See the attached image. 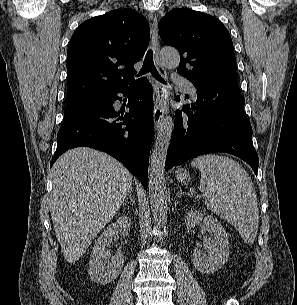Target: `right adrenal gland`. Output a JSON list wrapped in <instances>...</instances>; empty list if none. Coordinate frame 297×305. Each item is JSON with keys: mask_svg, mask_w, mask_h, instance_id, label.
<instances>
[{"mask_svg": "<svg viewBox=\"0 0 297 305\" xmlns=\"http://www.w3.org/2000/svg\"><path fill=\"white\" fill-rule=\"evenodd\" d=\"M128 200H130L134 204V199L132 198V190L129 191L128 197L125 199L122 205L125 206Z\"/></svg>", "mask_w": 297, "mask_h": 305, "instance_id": "right-adrenal-gland-1", "label": "right adrenal gland"}]
</instances>
